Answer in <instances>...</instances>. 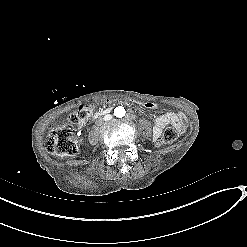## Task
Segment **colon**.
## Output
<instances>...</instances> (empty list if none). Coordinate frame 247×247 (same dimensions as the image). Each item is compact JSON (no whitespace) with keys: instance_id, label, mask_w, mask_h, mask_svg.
I'll return each instance as SVG.
<instances>
[{"instance_id":"1","label":"colon","mask_w":247,"mask_h":247,"mask_svg":"<svg viewBox=\"0 0 247 247\" xmlns=\"http://www.w3.org/2000/svg\"><path fill=\"white\" fill-rule=\"evenodd\" d=\"M158 107L157 102L146 101L144 103V108L148 112L156 110ZM89 115V108L85 105L80 106L68 117L67 126H56L49 131L45 139V148L59 157L75 156L78 153L76 127L86 122ZM183 134L184 129L182 127H168L163 134V141L172 143Z\"/></svg>"}]
</instances>
